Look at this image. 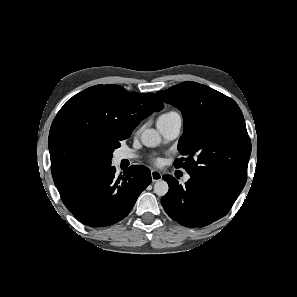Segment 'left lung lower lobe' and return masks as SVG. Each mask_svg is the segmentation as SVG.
Returning a JSON list of instances; mask_svg holds the SVG:
<instances>
[{
    "label": "left lung lower lobe",
    "mask_w": 297,
    "mask_h": 297,
    "mask_svg": "<svg viewBox=\"0 0 297 297\" xmlns=\"http://www.w3.org/2000/svg\"><path fill=\"white\" fill-rule=\"evenodd\" d=\"M163 179L169 184L168 193L161 199L166 213L173 220L187 227H203L225 216L235 198L222 190L195 178L185 186L171 175Z\"/></svg>",
    "instance_id": "obj_1"
}]
</instances>
